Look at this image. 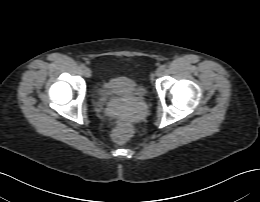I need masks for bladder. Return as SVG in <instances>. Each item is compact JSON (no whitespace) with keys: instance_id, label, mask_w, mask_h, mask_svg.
<instances>
[{"instance_id":"obj_1","label":"bladder","mask_w":260,"mask_h":202,"mask_svg":"<svg viewBox=\"0 0 260 202\" xmlns=\"http://www.w3.org/2000/svg\"><path fill=\"white\" fill-rule=\"evenodd\" d=\"M98 89L101 93L121 96L143 97L146 95V88L142 83L126 76L117 77L106 85H100Z\"/></svg>"}]
</instances>
